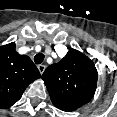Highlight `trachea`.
<instances>
[{
	"instance_id": "obj_1",
	"label": "trachea",
	"mask_w": 117,
	"mask_h": 117,
	"mask_svg": "<svg viewBox=\"0 0 117 117\" xmlns=\"http://www.w3.org/2000/svg\"><path fill=\"white\" fill-rule=\"evenodd\" d=\"M43 60H44V55L42 53L36 54L34 56V62L36 64H41L43 62Z\"/></svg>"
}]
</instances>
